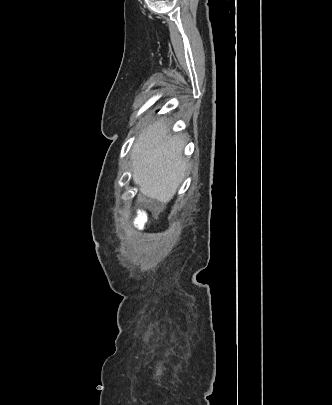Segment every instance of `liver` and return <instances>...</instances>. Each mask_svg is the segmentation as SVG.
<instances>
[{
	"instance_id": "1",
	"label": "liver",
	"mask_w": 332,
	"mask_h": 405,
	"mask_svg": "<svg viewBox=\"0 0 332 405\" xmlns=\"http://www.w3.org/2000/svg\"><path fill=\"white\" fill-rule=\"evenodd\" d=\"M184 138L170 134L163 119L146 125L131 150L133 182L148 198L167 203L187 173L182 156Z\"/></svg>"
}]
</instances>
